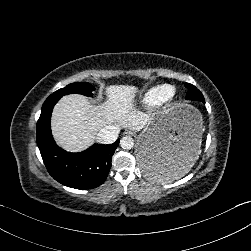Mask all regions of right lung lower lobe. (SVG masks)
<instances>
[{"instance_id":"98d812e1","label":"right lung lower lobe","mask_w":251,"mask_h":251,"mask_svg":"<svg viewBox=\"0 0 251 251\" xmlns=\"http://www.w3.org/2000/svg\"><path fill=\"white\" fill-rule=\"evenodd\" d=\"M60 97H48L37 122V145L49 174L59 183L75 189H92L103 184L119 139L110 145L94 144L80 153H69L55 143L50 119Z\"/></svg>"}]
</instances>
